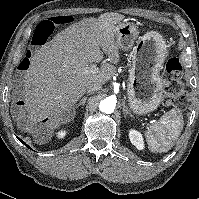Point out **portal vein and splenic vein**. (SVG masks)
<instances>
[{
	"label": "portal vein and splenic vein",
	"instance_id": "obj_1",
	"mask_svg": "<svg viewBox=\"0 0 199 199\" xmlns=\"http://www.w3.org/2000/svg\"><path fill=\"white\" fill-rule=\"evenodd\" d=\"M90 70L91 71H96L97 70L96 64H91L90 65Z\"/></svg>",
	"mask_w": 199,
	"mask_h": 199
}]
</instances>
